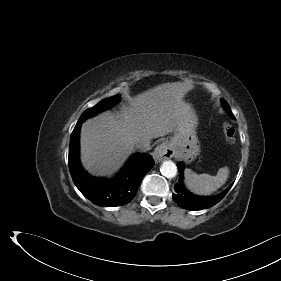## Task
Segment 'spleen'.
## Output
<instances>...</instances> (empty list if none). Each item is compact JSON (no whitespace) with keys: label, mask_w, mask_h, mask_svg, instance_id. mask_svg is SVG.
<instances>
[{"label":"spleen","mask_w":281,"mask_h":281,"mask_svg":"<svg viewBox=\"0 0 281 281\" xmlns=\"http://www.w3.org/2000/svg\"><path fill=\"white\" fill-rule=\"evenodd\" d=\"M229 176L227 167L220 168L216 176L196 174L191 169H185V185L197 195H210L225 184Z\"/></svg>","instance_id":"obj_1"}]
</instances>
